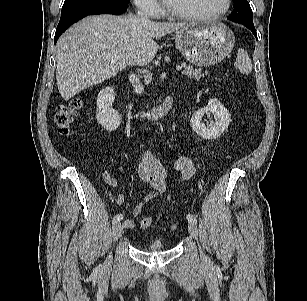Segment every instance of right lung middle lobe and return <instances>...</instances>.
Instances as JSON below:
<instances>
[{"mask_svg":"<svg viewBox=\"0 0 307 301\" xmlns=\"http://www.w3.org/2000/svg\"><path fill=\"white\" fill-rule=\"evenodd\" d=\"M101 1H113L117 3H129V0H65L62 11H66L69 9H73L82 5L94 3V2H101Z\"/></svg>","mask_w":307,"mask_h":301,"instance_id":"obj_1","label":"right lung middle lobe"}]
</instances>
